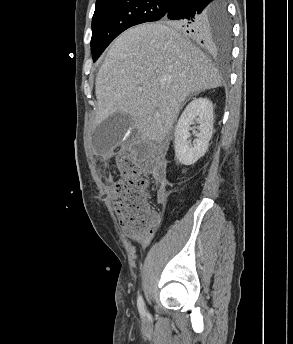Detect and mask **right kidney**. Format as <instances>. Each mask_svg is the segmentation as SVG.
<instances>
[{
    "label": "right kidney",
    "instance_id": "ca27d5eb",
    "mask_svg": "<svg viewBox=\"0 0 293 344\" xmlns=\"http://www.w3.org/2000/svg\"><path fill=\"white\" fill-rule=\"evenodd\" d=\"M199 124L197 137L189 140L191 124ZM213 104L208 98L193 99L182 112L174 132V150L183 165H192L206 153L213 133Z\"/></svg>",
    "mask_w": 293,
    "mask_h": 344
}]
</instances>
